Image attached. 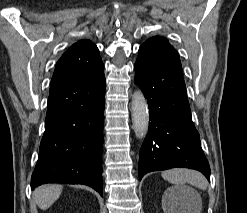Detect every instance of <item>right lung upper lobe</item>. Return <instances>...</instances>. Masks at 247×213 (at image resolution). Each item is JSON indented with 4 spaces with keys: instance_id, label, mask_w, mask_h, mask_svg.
Instances as JSON below:
<instances>
[{
    "instance_id": "obj_1",
    "label": "right lung upper lobe",
    "mask_w": 247,
    "mask_h": 213,
    "mask_svg": "<svg viewBox=\"0 0 247 213\" xmlns=\"http://www.w3.org/2000/svg\"><path fill=\"white\" fill-rule=\"evenodd\" d=\"M103 67L96 45L90 40H80L73 44L56 63L50 87L90 75Z\"/></svg>"
}]
</instances>
